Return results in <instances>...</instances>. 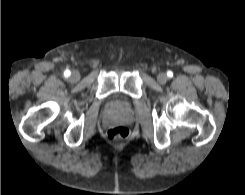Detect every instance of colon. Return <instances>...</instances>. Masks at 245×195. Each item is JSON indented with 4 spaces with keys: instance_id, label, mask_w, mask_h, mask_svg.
I'll use <instances>...</instances> for the list:
<instances>
[{
    "instance_id": "colon-1",
    "label": "colon",
    "mask_w": 245,
    "mask_h": 195,
    "mask_svg": "<svg viewBox=\"0 0 245 195\" xmlns=\"http://www.w3.org/2000/svg\"><path fill=\"white\" fill-rule=\"evenodd\" d=\"M130 132L128 128L124 126H116L108 130L107 136L110 140L120 141L124 140L129 136Z\"/></svg>"
}]
</instances>
